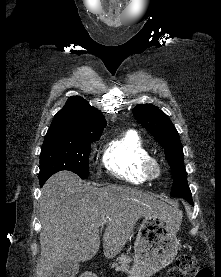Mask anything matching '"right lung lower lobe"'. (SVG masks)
Returning a JSON list of instances; mask_svg holds the SVG:
<instances>
[{
    "label": "right lung lower lobe",
    "instance_id": "1",
    "mask_svg": "<svg viewBox=\"0 0 221 277\" xmlns=\"http://www.w3.org/2000/svg\"><path fill=\"white\" fill-rule=\"evenodd\" d=\"M44 183H40V185L42 186Z\"/></svg>",
    "mask_w": 221,
    "mask_h": 277
}]
</instances>
